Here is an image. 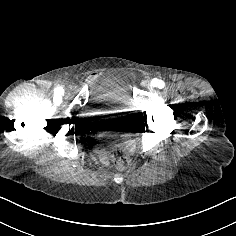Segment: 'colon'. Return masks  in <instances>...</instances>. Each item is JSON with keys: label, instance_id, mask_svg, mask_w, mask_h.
<instances>
[{"label": "colon", "instance_id": "5ec220e1", "mask_svg": "<svg viewBox=\"0 0 236 236\" xmlns=\"http://www.w3.org/2000/svg\"><path fill=\"white\" fill-rule=\"evenodd\" d=\"M109 155L117 169L126 170L131 164L130 156L126 148L120 143L109 145Z\"/></svg>", "mask_w": 236, "mask_h": 236}]
</instances>
